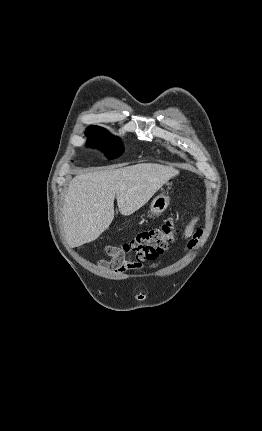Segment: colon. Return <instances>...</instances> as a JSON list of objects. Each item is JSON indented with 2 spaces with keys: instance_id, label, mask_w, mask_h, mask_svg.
I'll list each match as a JSON object with an SVG mask.
<instances>
[{
  "instance_id": "1",
  "label": "colon",
  "mask_w": 262,
  "mask_h": 431,
  "mask_svg": "<svg viewBox=\"0 0 262 431\" xmlns=\"http://www.w3.org/2000/svg\"><path fill=\"white\" fill-rule=\"evenodd\" d=\"M178 230L177 220L173 218L158 228L139 233L122 245H107L105 251L109 256L124 264L133 265L152 261L166 251L175 240Z\"/></svg>"
}]
</instances>
